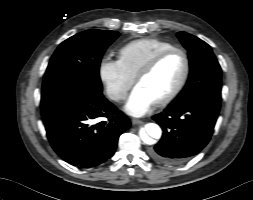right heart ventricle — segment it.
<instances>
[{"label": "right heart ventricle", "mask_w": 253, "mask_h": 200, "mask_svg": "<svg viewBox=\"0 0 253 200\" xmlns=\"http://www.w3.org/2000/svg\"><path fill=\"white\" fill-rule=\"evenodd\" d=\"M174 48V45L156 38L131 41L120 48L119 61L124 70L135 78L139 70L159 53Z\"/></svg>", "instance_id": "e07e8e85"}]
</instances>
